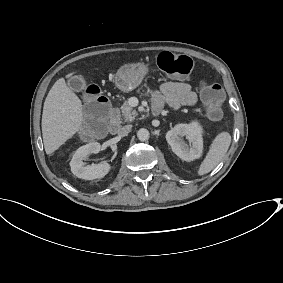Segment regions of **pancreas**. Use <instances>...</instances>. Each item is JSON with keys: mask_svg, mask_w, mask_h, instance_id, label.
I'll use <instances>...</instances> for the list:
<instances>
[{"mask_svg": "<svg viewBox=\"0 0 283 283\" xmlns=\"http://www.w3.org/2000/svg\"><path fill=\"white\" fill-rule=\"evenodd\" d=\"M121 110V118L127 121H132L138 115L136 110L129 105L128 101H124L123 105L120 108Z\"/></svg>", "mask_w": 283, "mask_h": 283, "instance_id": "1", "label": "pancreas"}]
</instances>
